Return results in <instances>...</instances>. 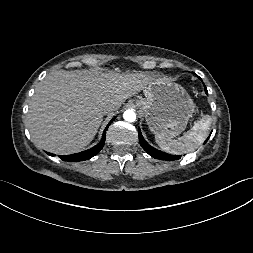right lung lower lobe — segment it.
<instances>
[{"instance_id": "right-lung-lower-lobe-1", "label": "right lung lower lobe", "mask_w": 253, "mask_h": 253, "mask_svg": "<svg viewBox=\"0 0 253 253\" xmlns=\"http://www.w3.org/2000/svg\"><path fill=\"white\" fill-rule=\"evenodd\" d=\"M113 121H114V118L109 122V124L105 128L103 135H102V140L100 143H98L97 145H95L93 148H91L89 150L79 152L76 154H72V155L61 156V159L64 161H68V162H76V161H84V160L90 159L93 156H95L103 148L104 143H105L106 130L108 129L110 123ZM48 154L51 156H54V154H52V153H48Z\"/></svg>"}]
</instances>
